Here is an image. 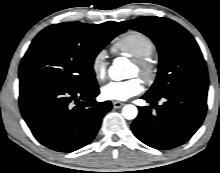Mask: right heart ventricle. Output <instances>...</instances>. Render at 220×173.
I'll return each mask as SVG.
<instances>
[{
	"label": "right heart ventricle",
	"mask_w": 220,
	"mask_h": 173,
	"mask_svg": "<svg viewBox=\"0 0 220 173\" xmlns=\"http://www.w3.org/2000/svg\"><path fill=\"white\" fill-rule=\"evenodd\" d=\"M154 42L144 33L128 31L121 35L112 45V51L132 59H144L153 54Z\"/></svg>",
	"instance_id": "obj_1"
}]
</instances>
